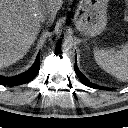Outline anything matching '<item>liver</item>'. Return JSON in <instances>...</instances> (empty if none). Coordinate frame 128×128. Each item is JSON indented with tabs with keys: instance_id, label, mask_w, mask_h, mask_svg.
Returning a JSON list of instances; mask_svg holds the SVG:
<instances>
[{
	"instance_id": "1",
	"label": "liver",
	"mask_w": 128,
	"mask_h": 128,
	"mask_svg": "<svg viewBox=\"0 0 128 128\" xmlns=\"http://www.w3.org/2000/svg\"><path fill=\"white\" fill-rule=\"evenodd\" d=\"M63 0H0V69L23 58L40 29L38 16L52 24Z\"/></svg>"
}]
</instances>
